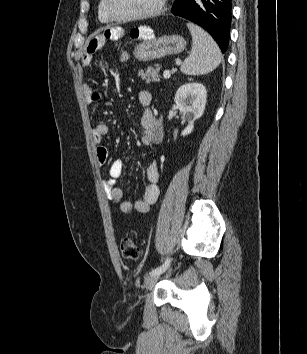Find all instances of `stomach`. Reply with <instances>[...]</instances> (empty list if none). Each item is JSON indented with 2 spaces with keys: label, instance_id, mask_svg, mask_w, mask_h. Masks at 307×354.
<instances>
[{
  "label": "stomach",
  "instance_id": "stomach-1",
  "mask_svg": "<svg viewBox=\"0 0 307 354\" xmlns=\"http://www.w3.org/2000/svg\"><path fill=\"white\" fill-rule=\"evenodd\" d=\"M132 33L133 38L142 40L134 49L135 58L142 62L179 54L186 46L184 38L177 34L153 37V30L148 26L134 28Z\"/></svg>",
  "mask_w": 307,
  "mask_h": 354
}]
</instances>
